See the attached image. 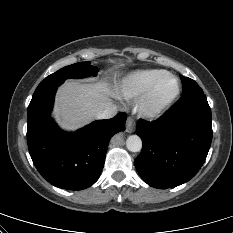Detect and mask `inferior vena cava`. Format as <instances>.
Segmentation results:
<instances>
[{"label":"inferior vena cava","mask_w":233,"mask_h":233,"mask_svg":"<svg viewBox=\"0 0 233 233\" xmlns=\"http://www.w3.org/2000/svg\"><path fill=\"white\" fill-rule=\"evenodd\" d=\"M117 114V107L113 104L107 105L103 111L96 114L97 119H109Z\"/></svg>","instance_id":"obj_1"}]
</instances>
